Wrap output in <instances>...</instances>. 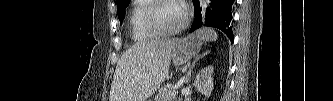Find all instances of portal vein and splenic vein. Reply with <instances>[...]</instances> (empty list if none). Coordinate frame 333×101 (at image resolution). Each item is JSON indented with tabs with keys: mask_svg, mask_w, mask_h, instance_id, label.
<instances>
[{
	"mask_svg": "<svg viewBox=\"0 0 333 101\" xmlns=\"http://www.w3.org/2000/svg\"><path fill=\"white\" fill-rule=\"evenodd\" d=\"M183 82H184V79H181L177 84H175L174 86H171V88L176 90V89L182 87Z\"/></svg>",
	"mask_w": 333,
	"mask_h": 101,
	"instance_id": "1",
	"label": "portal vein and splenic vein"
}]
</instances>
